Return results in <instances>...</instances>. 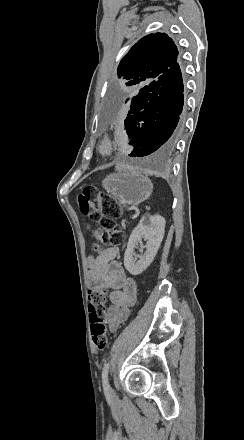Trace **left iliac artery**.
Masks as SVG:
<instances>
[{
  "label": "left iliac artery",
  "mask_w": 244,
  "mask_h": 440,
  "mask_svg": "<svg viewBox=\"0 0 244 440\" xmlns=\"http://www.w3.org/2000/svg\"><path fill=\"white\" fill-rule=\"evenodd\" d=\"M109 363H106L102 369V384L104 391H108L110 389V385L108 383V371H109Z\"/></svg>",
  "instance_id": "obj_1"
}]
</instances>
